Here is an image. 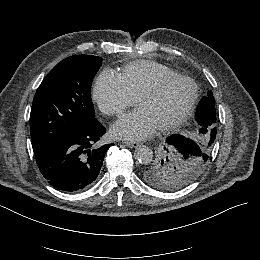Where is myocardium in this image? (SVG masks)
Masks as SVG:
<instances>
[{
    "label": "myocardium",
    "mask_w": 260,
    "mask_h": 260,
    "mask_svg": "<svg viewBox=\"0 0 260 260\" xmlns=\"http://www.w3.org/2000/svg\"><path fill=\"white\" fill-rule=\"evenodd\" d=\"M176 79H183V80H187L192 83V81L189 79V77H187L186 75L180 74V73L161 76V77L155 79L150 85H148L147 87H145L138 93L135 103L138 104V102L143 97L156 94L163 85H165L166 83H168L170 81L176 80ZM193 86L195 89L194 97L191 100V102H190L189 106L187 107V109L185 110V112L180 117H178L176 120L163 124V125H160V126H157L156 131L158 133L169 132V131H173V130L179 128L191 116V114L193 113V111L200 99V92H199L198 87L194 84H193Z\"/></svg>",
    "instance_id": "myocardium-1"
}]
</instances>
